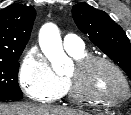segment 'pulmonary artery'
<instances>
[{
  "label": "pulmonary artery",
  "mask_w": 131,
  "mask_h": 115,
  "mask_svg": "<svg viewBox=\"0 0 131 115\" xmlns=\"http://www.w3.org/2000/svg\"><path fill=\"white\" fill-rule=\"evenodd\" d=\"M63 45L68 52H77L84 49V44L82 39L74 34H67L64 37Z\"/></svg>",
  "instance_id": "e3ab8cb5"
}]
</instances>
